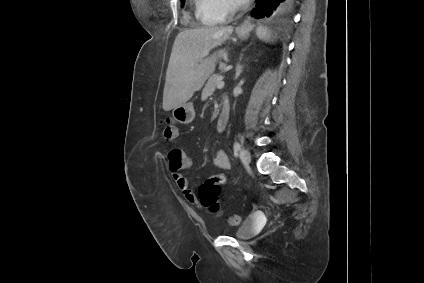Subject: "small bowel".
<instances>
[{"mask_svg":"<svg viewBox=\"0 0 424 283\" xmlns=\"http://www.w3.org/2000/svg\"><path fill=\"white\" fill-rule=\"evenodd\" d=\"M187 159H188V165L186 167L182 168V169H186L190 166L191 161H190L189 157H187ZM213 164L217 168H220L222 170H228L231 167L229 157L223 149L216 150L215 156L213 158ZM182 169H180V170H182ZM180 170H178V171L171 170L172 177H173L175 183L177 184L178 188L183 193V196L185 197V199L189 203L197 205L198 204V198H197L195 192L190 187L188 179L180 172Z\"/></svg>","mask_w":424,"mask_h":283,"instance_id":"1","label":"small bowel"}]
</instances>
